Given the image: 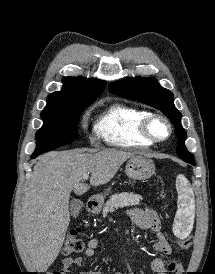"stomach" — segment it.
<instances>
[{"label":"stomach","instance_id":"0dacf381","mask_svg":"<svg viewBox=\"0 0 215 274\" xmlns=\"http://www.w3.org/2000/svg\"><path fill=\"white\" fill-rule=\"evenodd\" d=\"M125 172L127 176L133 180H146L154 174L155 165L150 158L132 156L126 163ZM109 190H107L105 194H107ZM96 200L99 206H101L104 200V195H97Z\"/></svg>","mask_w":215,"mask_h":274}]
</instances>
